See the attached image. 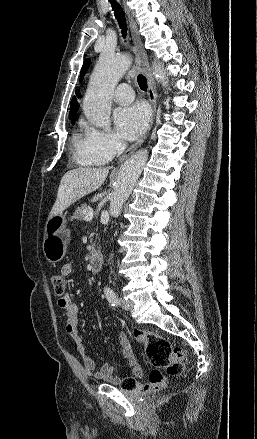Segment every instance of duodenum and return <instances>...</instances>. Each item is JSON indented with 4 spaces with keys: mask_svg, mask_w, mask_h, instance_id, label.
<instances>
[{
    "mask_svg": "<svg viewBox=\"0 0 257 439\" xmlns=\"http://www.w3.org/2000/svg\"><path fill=\"white\" fill-rule=\"evenodd\" d=\"M89 261L92 272L96 273L101 270L104 258L100 248L96 247L92 250Z\"/></svg>",
    "mask_w": 257,
    "mask_h": 439,
    "instance_id": "410a0bca",
    "label": "duodenum"
}]
</instances>
